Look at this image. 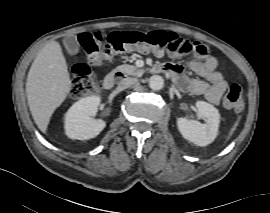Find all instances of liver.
<instances>
[{"label": "liver", "instance_id": "obj_1", "mask_svg": "<svg viewBox=\"0 0 270 213\" xmlns=\"http://www.w3.org/2000/svg\"><path fill=\"white\" fill-rule=\"evenodd\" d=\"M70 89V75L61 46L57 41H50L34 59L26 82L30 112L43 133Z\"/></svg>", "mask_w": 270, "mask_h": 213}]
</instances>
